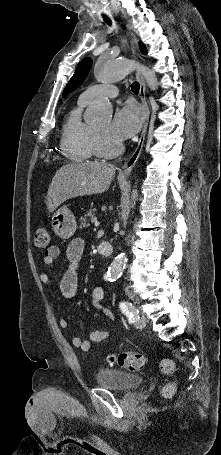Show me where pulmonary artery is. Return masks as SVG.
Here are the masks:
<instances>
[{
    "label": "pulmonary artery",
    "instance_id": "pulmonary-artery-1",
    "mask_svg": "<svg viewBox=\"0 0 221 455\" xmlns=\"http://www.w3.org/2000/svg\"><path fill=\"white\" fill-rule=\"evenodd\" d=\"M118 95V88L109 83L92 85L86 88L80 95L85 102H90L98 97L115 98Z\"/></svg>",
    "mask_w": 221,
    "mask_h": 455
}]
</instances>
